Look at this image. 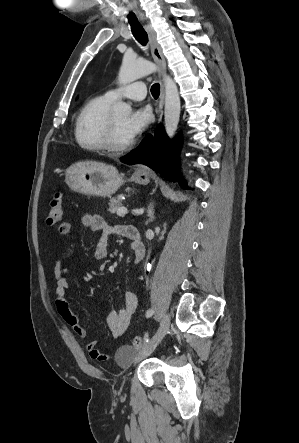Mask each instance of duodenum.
I'll use <instances>...</instances> for the list:
<instances>
[{
  "mask_svg": "<svg viewBox=\"0 0 299 443\" xmlns=\"http://www.w3.org/2000/svg\"><path fill=\"white\" fill-rule=\"evenodd\" d=\"M128 238L133 241L132 249L136 254L144 253V246L141 242L139 231L135 227H131L128 231Z\"/></svg>",
  "mask_w": 299,
  "mask_h": 443,
  "instance_id": "1",
  "label": "duodenum"
}]
</instances>
